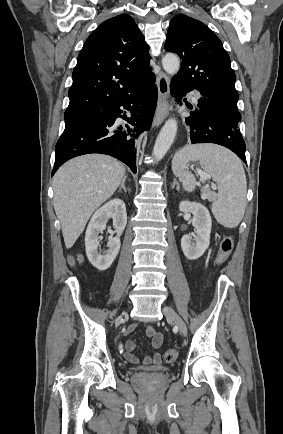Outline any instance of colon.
Wrapping results in <instances>:
<instances>
[{"mask_svg": "<svg viewBox=\"0 0 283 434\" xmlns=\"http://www.w3.org/2000/svg\"><path fill=\"white\" fill-rule=\"evenodd\" d=\"M234 247V239L232 236L227 235L222 238L217 256H216V264L222 265L225 263L230 257ZM178 357V351L174 348L168 349L164 353V360L168 363L175 361Z\"/></svg>", "mask_w": 283, "mask_h": 434, "instance_id": "5ec220e1", "label": "colon"}]
</instances>
